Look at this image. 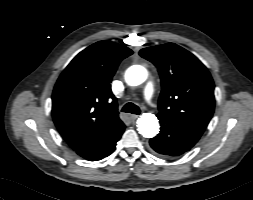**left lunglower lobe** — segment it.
Wrapping results in <instances>:
<instances>
[{
	"mask_svg": "<svg viewBox=\"0 0 253 200\" xmlns=\"http://www.w3.org/2000/svg\"><path fill=\"white\" fill-rule=\"evenodd\" d=\"M160 133L150 139L151 148L157 153L169 157L179 156L190 150L200 139L204 128L159 113Z\"/></svg>",
	"mask_w": 253,
	"mask_h": 200,
	"instance_id": "left-lung-lower-lobe-1",
	"label": "left lung lower lobe"
}]
</instances>
